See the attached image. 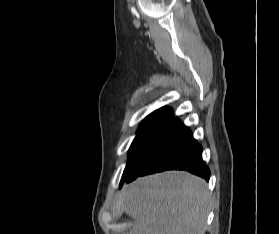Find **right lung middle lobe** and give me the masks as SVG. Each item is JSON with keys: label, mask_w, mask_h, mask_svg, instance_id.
Instances as JSON below:
<instances>
[{"label": "right lung middle lobe", "mask_w": 279, "mask_h": 234, "mask_svg": "<svg viewBox=\"0 0 279 234\" xmlns=\"http://www.w3.org/2000/svg\"><path fill=\"white\" fill-rule=\"evenodd\" d=\"M170 112V108H162L156 110L150 115H148L140 124L139 129L137 131V136L129 149L128 163L122 175L120 186L123 183L134 160L136 159L137 155L139 154L145 143L149 140L151 135L159 127L163 120L170 114Z\"/></svg>", "instance_id": "1"}]
</instances>
